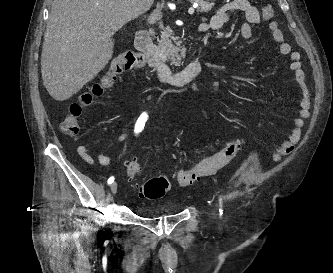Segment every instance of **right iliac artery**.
Masks as SVG:
<instances>
[{
    "label": "right iliac artery",
    "mask_w": 333,
    "mask_h": 273,
    "mask_svg": "<svg viewBox=\"0 0 333 273\" xmlns=\"http://www.w3.org/2000/svg\"><path fill=\"white\" fill-rule=\"evenodd\" d=\"M147 119H148V114L146 112H143L135 124V129H134L135 134L140 133L144 129ZM113 182H114V177L112 176L108 179V184L110 185Z\"/></svg>",
    "instance_id": "right-iliac-artery-1"
}]
</instances>
